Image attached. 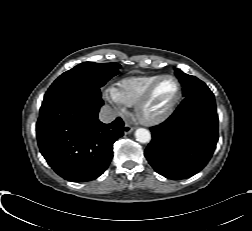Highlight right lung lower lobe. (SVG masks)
I'll use <instances>...</instances> for the list:
<instances>
[{
	"label": "right lung lower lobe",
	"instance_id": "1",
	"mask_svg": "<svg viewBox=\"0 0 252 231\" xmlns=\"http://www.w3.org/2000/svg\"><path fill=\"white\" fill-rule=\"evenodd\" d=\"M101 97L70 93L43 102L36 125L39 149L61 177L68 181H91L107 169L113 143L123 135V121L98 120Z\"/></svg>",
	"mask_w": 252,
	"mask_h": 231
}]
</instances>
